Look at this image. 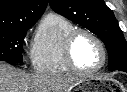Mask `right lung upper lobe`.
<instances>
[{
  "mask_svg": "<svg viewBox=\"0 0 127 92\" xmlns=\"http://www.w3.org/2000/svg\"><path fill=\"white\" fill-rule=\"evenodd\" d=\"M47 7V0H0V29L34 25Z\"/></svg>",
  "mask_w": 127,
  "mask_h": 92,
  "instance_id": "right-lung-upper-lobe-1",
  "label": "right lung upper lobe"
}]
</instances>
